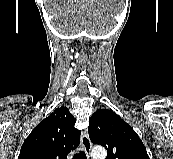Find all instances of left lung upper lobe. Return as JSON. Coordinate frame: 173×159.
I'll return each instance as SVG.
<instances>
[{
  "mask_svg": "<svg viewBox=\"0 0 173 159\" xmlns=\"http://www.w3.org/2000/svg\"><path fill=\"white\" fill-rule=\"evenodd\" d=\"M89 123L90 140L107 149L106 159H149L137 133L112 110H97Z\"/></svg>",
  "mask_w": 173,
  "mask_h": 159,
  "instance_id": "1",
  "label": "left lung upper lobe"
}]
</instances>
